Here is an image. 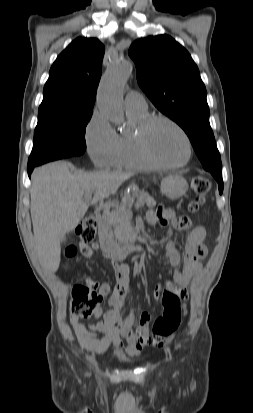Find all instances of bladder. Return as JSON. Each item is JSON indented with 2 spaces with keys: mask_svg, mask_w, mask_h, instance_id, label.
<instances>
[{
  "mask_svg": "<svg viewBox=\"0 0 253 413\" xmlns=\"http://www.w3.org/2000/svg\"><path fill=\"white\" fill-rule=\"evenodd\" d=\"M119 360L122 361V362H128L129 361L126 357H123V356L119 357Z\"/></svg>",
  "mask_w": 253,
  "mask_h": 413,
  "instance_id": "1",
  "label": "bladder"
}]
</instances>
